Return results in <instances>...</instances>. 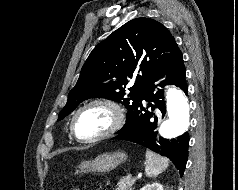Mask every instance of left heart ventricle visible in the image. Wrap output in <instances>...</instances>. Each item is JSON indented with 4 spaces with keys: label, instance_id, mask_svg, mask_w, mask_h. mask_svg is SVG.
<instances>
[{
    "label": "left heart ventricle",
    "instance_id": "1",
    "mask_svg": "<svg viewBox=\"0 0 238 190\" xmlns=\"http://www.w3.org/2000/svg\"><path fill=\"white\" fill-rule=\"evenodd\" d=\"M112 122L110 112L102 107L83 111L76 120V131L81 137H91L106 130Z\"/></svg>",
    "mask_w": 238,
    "mask_h": 190
}]
</instances>
